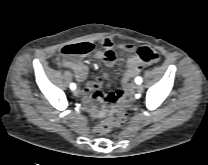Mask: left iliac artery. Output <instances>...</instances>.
Instances as JSON below:
<instances>
[{"mask_svg":"<svg viewBox=\"0 0 208 165\" xmlns=\"http://www.w3.org/2000/svg\"><path fill=\"white\" fill-rule=\"evenodd\" d=\"M135 81H136L137 84H141L142 83V78L141 77H137Z\"/></svg>","mask_w":208,"mask_h":165,"instance_id":"44dca946","label":"left iliac artery"}]
</instances>
